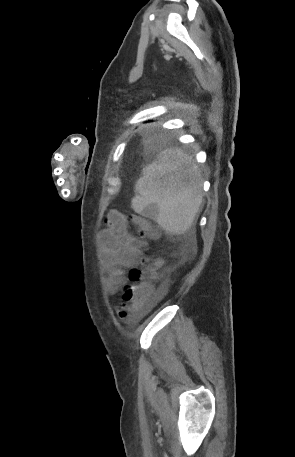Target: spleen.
Segmentation results:
<instances>
[{
  "mask_svg": "<svg viewBox=\"0 0 295 457\" xmlns=\"http://www.w3.org/2000/svg\"><path fill=\"white\" fill-rule=\"evenodd\" d=\"M133 210L155 220L167 233L190 229L202 203V181L197 167L181 149L161 152L143 169L135 185Z\"/></svg>",
  "mask_w": 295,
  "mask_h": 457,
  "instance_id": "3e777b00",
  "label": "spleen"
}]
</instances>
